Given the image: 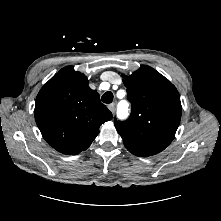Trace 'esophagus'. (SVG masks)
<instances>
[{
    "label": "esophagus",
    "mask_w": 221,
    "mask_h": 221,
    "mask_svg": "<svg viewBox=\"0 0 221 221\" xmlns=\"http://www.w3.org/2000/svg\"><path fill=\"white\" fill-rule=\"evenodd\" d=\"M108 109H109L112 113H114V111H115V103L109 104V105H108Z\"/></svg>",
    "instance_id": "esophagus-1"
}]
</instances>
